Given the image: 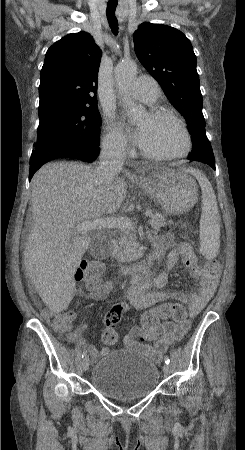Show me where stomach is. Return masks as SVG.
<instances>
[{"mask_svg": "<svg viewBox=\"0 0 245 450\" xmlns=\"http://www.w3.org/2000/svg\"><path fill=\"white\" fill-rule=\"evenodd\" d=\"M137 184L150 194L168 215L184 214L197 202V184L183 171L157 169Z\"/></svg>", "mask_w": 245, "mask_h": 450, "instance_id": "stomach-1", "label": "stomach"}]
</instances>
